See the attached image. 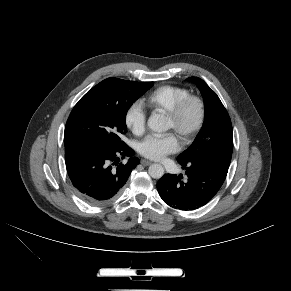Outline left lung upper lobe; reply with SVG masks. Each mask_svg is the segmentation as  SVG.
Returning <instances> with one entry per match:
<instances>
[{
  "label": "left lung upper lobe",
  "instance_id": "left-lung-upper-lobe-1",
  "mask_svg": "<svg viewBox=\"0 0 291 291\" xmlns=\"http://www.w3.org/2000/svg\"><path fill=\"white\" fill-rule=\"evenodd\" d=\"M201 91L205 119L193 143L177 158L178 162L193 159L211 158L231 161L233 151V132L230 117L217 94L200 78L189 79Z\"/></svg>",
  "mask_w": 291,
  "mask_h": 291
}]
</instances>
